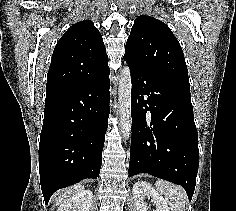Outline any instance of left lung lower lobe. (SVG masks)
Returning <instances> with one entry per match:
<instances>
[{
    "instance_id": "0a47b994",
    "label": "left lung lower lobe",
    "mask_w": 236,
    "mask_h": 211,
    "mask_svg": "<svg viewBox=\"0 0 236 211\" xmlns=\"http://www.w3.org/2000/svg\"><path fill=\"white\" fill-rule=\"evenodd\" d=\"M132 139L129 177L148 173L181 185L191 200L199 166L189 90L130 66Z\"/></svg>"
}]
</instances>
